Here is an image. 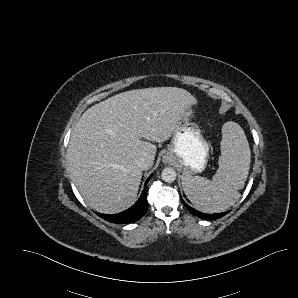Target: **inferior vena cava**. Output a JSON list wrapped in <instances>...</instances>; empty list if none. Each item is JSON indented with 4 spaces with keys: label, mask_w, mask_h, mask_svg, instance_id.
<instances>
[{
    "label": "inferior vena cava",
    "mask_w": 298,
    "mask_h": 298,
    "mask_svg": "<svg viewBox=\"0 0 298 298\" xmlns=\"http://www.w3.org/2000/svg\"><path fill=\"white\" fill-rule=\"evenodd\" d=\"M136 165L143 170H148L150 167H152V165L145 158L138 159Z\"/></svg>",
    "instance_id": "obj_1"
}]
</instances>
